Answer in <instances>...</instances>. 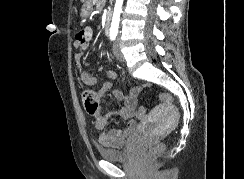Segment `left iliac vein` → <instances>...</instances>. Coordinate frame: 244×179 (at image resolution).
<instances>
[{"instance_id":"4c4485c4","label":"left iliac vein","mask_w":244,"mask_h":179,"mask_svg":"<svg viewBox=\"0 0 244 179\" xmlns=\"http://www.w3.org/2000/svg\"><path fill=\"white\" fill-rule=\"evenodd\" d=\"M113 50H114V54L116 56V58L120 61V62H123L124 61V56L121 52V48H120V39L117 38L115 43H114V47H113Z\"/></svg>"}]
</instances>
